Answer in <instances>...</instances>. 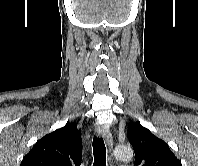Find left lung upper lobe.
Wrapping results in <instances>:
<instances>
[{"label":"left lung upper lobe","instance_id":"obj_1","mask_svg":"<svg viewBox=\"0 0 198 166\" xmlns=\"http://www.w3.org/2000/svg\"><path fill=\"white\" fill-rule=\"evenodd\" d=\"M127 136L133 146L137 166H182L168 144L141 124L129 126Z\"/></svg>","mask_w":198,"mask_h":166}]
</instances>
